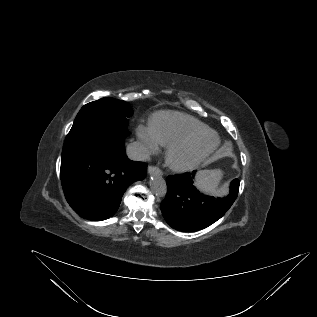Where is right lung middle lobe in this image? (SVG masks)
Returning a JSON list of instances; mask_svg holds the SVG:
<instances>
[{
  "instance_id": "right-lung-middle-lobe-1",
  "label": "right lung middle lobe",
  "mask_w": 317,
  "mask_h": 317,
  "mask_svg": "<svg viewBox=\"0 0 317 317\" xmlns=\"http://www.w3.org/2000/svg\"><path fill=\"white\" fill-rule=\"evenodd\" d=\"M133 114L124 101L102 98L84 105L68 133L62 158L74 155L103 135L126 137L128 118Z\"/></svg>"
}]
</instances>
